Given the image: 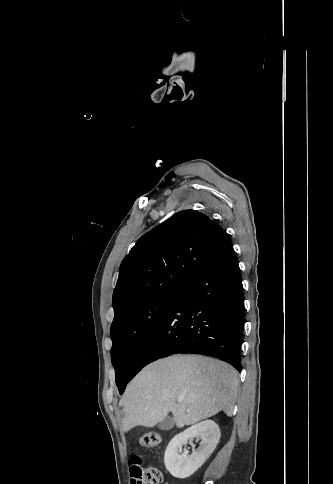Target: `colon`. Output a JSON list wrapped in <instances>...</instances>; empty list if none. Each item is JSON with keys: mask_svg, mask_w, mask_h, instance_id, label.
Segmentation results:
<instances>
[{"mask_svg": "<svg viewBox=\"0 0 333 484\" xmlns=\"http://www.w3.org/2000/svg\"><path fill=\"white\" fill-rule=\"evenodd\" d=\"M143 447H156L161 443V436L156 432H147L140 438ZM162 482V473L154 468L148 467L142 469L139 475L138 484H160Z\"/></svg>", "mask_w": 333, "mask_h": 484, "instance_id": "obj_1", "label": "colon"}]
</instances>
